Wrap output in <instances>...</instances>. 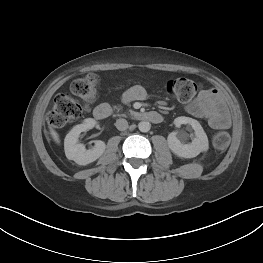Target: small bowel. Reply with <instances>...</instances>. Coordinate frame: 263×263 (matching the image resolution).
<instances>
[{"label":"small bowel","mask_w":263,"mask_h":263,"mask_svg":"<svg viewBox=\"0 0 263 263\" xmlns=\"http://www.w3.org/2000/svg\"><path fill=\"white\" fill-rule=\"evenodd\" d=\"M147 92L143 86L135 85L123 94L125 103L142 101ZM186 111L196 117L205 119L214 129H225L230 126L231 120L221 95L214 89L202 90L198 96L185 106Z\"/></svg>","instance_id":"1"}]
</instances>
